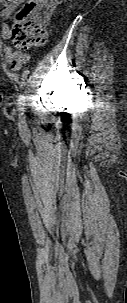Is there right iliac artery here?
<instances>
[{"mask_svg": "<svg viewBox=\"0 0 127 303\" xmlns=\"http://www.w3.org/2000/svg\"><path fill=\"white\" fill-rule=\"evenodd\" d=\"M25 95H21L18 100V111L21 119H24Z\"/></svg>", "mask_w": 127, "mask_h": 303, "instance_id": "right-iliac-artery-1", "label": "right iliac artery"}]
</instances>
